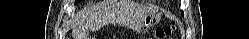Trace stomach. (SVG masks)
<instances>
[{"label":"stomach","instance_id":"stomach-1","mask_svg":"<svg viewBox=\"0 0 249 39\" xmlns=\"http://www.w3.org/2000/svg\"><path fill=\"white\" fill-rule=\"evenodd\" d=\"M159 21H160L159 16H157L155 14H149L144 18V20L142 22V26L144 28H148L150 26L157 24Z\"/></svg>","mask_w":249,"mask_h":39}]
</instances>
